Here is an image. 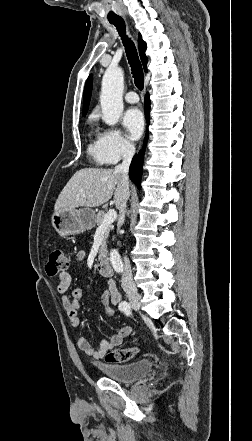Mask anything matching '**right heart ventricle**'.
Returning a JSON list of instances; mask_svg holds the SVG:
<instances>
[{
  "label": "right heart ventricle",
  "instance_id": "right-heart-ventricle-1",
  "mask_svg": "<svg viewBox=\"0 0 252 441\" xmlns=\"http://www.w3.org/2000/svg\"><path fill=\"white\" fill-rule=\"evenodd\" d=\"M93 121V120H92ZM92 140L88 146L89 155L99 164L104 163L101 151H100V136L96 130H92Z\"/></svg>",
  "mask_w": 252,
  "mask_h": 441
}]
</instances>
